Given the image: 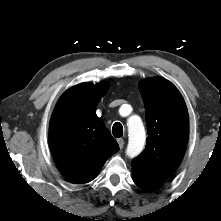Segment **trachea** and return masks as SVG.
Instances as JSON below:
<instances>
[{"label": "trachea", "instance_id": "1", "mask_svg": "<svg viewBox=\"0 0 221 221\" xmlns=\"http://www.w3.org/2000/svg\"><path fill=\"white\" fill-rule=\"evenodd\" d=\"M112 133L116 138H120L123 135V126L121 125V123L116 122L113 125L112 128Z\"/></svg>", "mask_w": 221, "mask_h": 221}]
</instances>
